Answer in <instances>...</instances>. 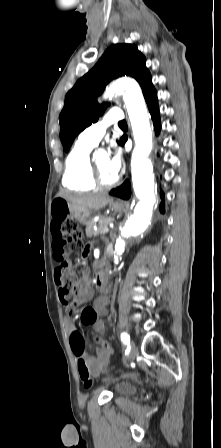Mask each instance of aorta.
Instances as JSON below:
<instances>
[{"instance_id": "762f6f07", "label": "aorta", "mask_w": 221, "mask_h": 448, "mask_svg": "<svg viewBox=\"0 0 221 448\" xmlns=\"http://www.w3.org/2000/svg\"><path fill=\"white\" fill-rule=\"evenodd\" d=\"M123 95L135 140L131 157L133 188L139 202L128 218L114 246L113 263L118 265L125 248V239L143 232L152 217L155 203V182L152 162L148 156L152 150V130L146 104L138 83L132 79H119L104 93L105 99Z\"/></svg>"}]
</instances>
